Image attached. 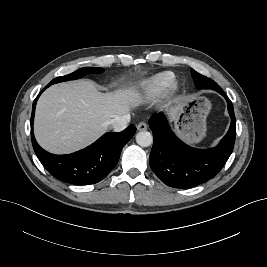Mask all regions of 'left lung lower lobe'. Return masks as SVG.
<instances>
[{"label":"left lung lower lobe","mask_w":267,"mask_h":267,"mask_svg":"<svg viewBox=\"0 0 267 267\" xmlns=\"http://www.w3.org/2000/svg\"><path fill=\"white\" fill-rule=\"evenodd\" d=\"M213 90L226 99L231 117L227 134L214 148H192L176 137L163 114L157 113L150 118L153 132L150 167L168 186L191 188L207 182L219 173L233 151L236 136L233 105L221 88Z\"/></svg>","instance_id":"obj_1"}]
</instances>
